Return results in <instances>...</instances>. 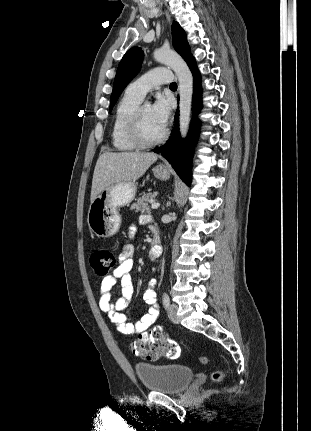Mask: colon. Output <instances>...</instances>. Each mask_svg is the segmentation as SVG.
I'll return each instance as SVG.
<instances>
[{"mask_svg":"<svg viewBox=\"0 0 311 431\" xmlns=\"http://www.w3.org/2000/svg\"><path fill=\"white\" fill-rule=\"evenodd\" d=\"M90 265L98 277H107L115 265V255L112 251L105 248H98L90 254ZM130 351L137 356L147 359H157L161 356L169 359H176L180 356L179 345L170 339L154 340L149 338H140L133 341L130 346ZM206 357H200L201 364L207 363ZM223 377V372L215 371L212 373V379L219 381Z\"/></svg>","mask_w":311,"mask_h":431,"instance_id":"colon-1","label":"colon"}]
</instances>
